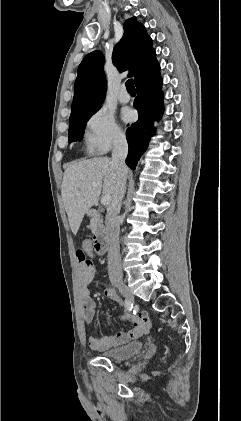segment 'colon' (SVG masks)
<instances>
[{
  "mask_svg": "<svg viewBox=\"0 0 241 421\" xmlns=\"http://www.w3.org/2000/svg\"><path fill=\"white\" fill-rule=\"evenodd\" d=\"M95 250L94 243L86 240L82 243L81 247L77 250V256L80 261L91 264L92 261L88 258V256Z\"/></svg>",
  "mask_w": 241,
  "mask_h": 421,
  "instance_id": "obj_1",
  "label": "colon"
}]
</instances>
